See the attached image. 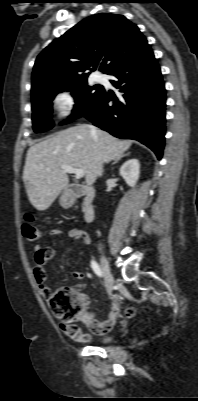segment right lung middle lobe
Masks as SVG:
<instances>
[{
    "label": "right lung middle lobe",
    "mask_w": 198,
    "mask_h": 401,
    "mask_svg": "<svg viewBox=\"0 0 198 401\" xmlns=\"http://www.w3.org/2000/svg\"><path fill=\"white\" fill-rule=\"evenodd\" d=\"M64 90L72 92L75 98L74 109L72 115L63 124L69 123L72 120L85 115L101 96L104 88L102 86L90 87L87 81L76 83L67 87L58 88L43 92L32 99V120L33 129L35 132L46 131L53 127L51 120L52 100L55 95Z\"/></svg>",
    "instance_id": "1"
}]
</instances>
